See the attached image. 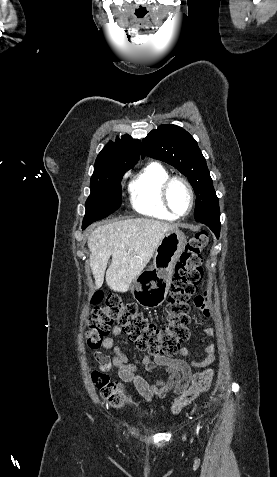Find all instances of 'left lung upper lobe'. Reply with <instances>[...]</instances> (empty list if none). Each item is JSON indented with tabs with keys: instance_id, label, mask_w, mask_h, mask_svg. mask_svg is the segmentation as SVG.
Wrapping results in <instances>:
<instances>
[{
	"instance_id": "left-lung-upper-lobe-1",
	"label": "left lung upper lobe",
	"mask_w": 277,
	"mask_h": 477,
	"mask_svg": "<svg viewBox=\"0 0 277 477\" xmlns=\"http://www.w3.org/2000/svg\"><path fill=\"white\" fill-rule=\"evenodd\" d=\"M148 155L174 166L190 181L196 193L194 218L197 222L220 217L219 201L206 160L197 142L183 128L161 125L142 141V156Z\"/></svg>"
}]
</instances>
